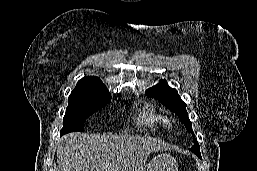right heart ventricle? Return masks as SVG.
<instances>
[{"label": "right heart ventricle", "mask_w": 257, "mask_h": 171, "mask_svg": "<svg viewBox=\"0 0 257 171\" xmlns=\"http://www.w3.org/2000/svg\"><path fill=\"white\" fill-rule=\"evenodd\" d=\"M138 123L154 131H160L169 127L168 116L154 107H149L138 117Z\"/></svg>", "instance_id": "1"}]
</instances>
